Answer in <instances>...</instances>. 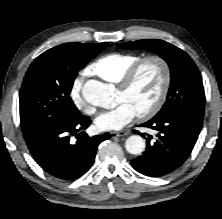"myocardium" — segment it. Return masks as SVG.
<instances>
[{
  "label": "myocardium",
  "instance_id": "myocardium-1",
  "mask_svg": "<svg viewBox=\"0 0 222 219\" xmlns=\"http://www.w3.org/2000/svg\"><path fill=\"white\" fill-rule=\"evenodd\" d=\"M148 62H155L161 70L162 82L159 94L154 103L146 110L137 113L142 119H149L156 115L163 107L171 84V67L168 61L160 55H148L138 60L123 75L118 85L122 91H127L134 83L142 67Z\"/></svg>",
  "mask_w": 222,
  "mask_h": 219
}]
</instances>
